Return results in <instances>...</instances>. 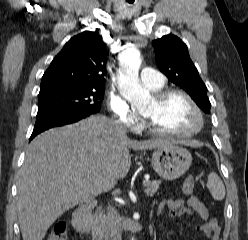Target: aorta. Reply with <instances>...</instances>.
Masks as SVG:
<instances>
[{"label":"aorta","mask_w":248,"mask_h":240,"mask_svg":"<svg viewBox=\"0 0 248 240\" xmlns=\"http://www.w3.org/2000/svg\"><path fill=\"white\" fill-rule=\"evenodd\" d=\"M140 65L141 55L137 48L130 47L122 52L119 60L118 87L121 95L136 108L150 101L149 91L139 82Z\"/></svg>","instance_id":"762f6f07"}]
</instances>
